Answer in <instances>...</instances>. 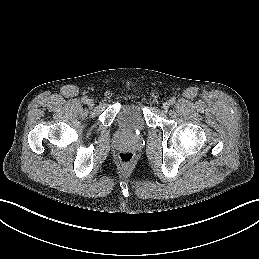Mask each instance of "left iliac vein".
I'll return each instance as SVG.
<instances>
[{"mask_svg": "<svg viewBox=\"0 0 259 259\" xmlns=\"http://www.w3.org/2000/svg\"><path fill=\"white\" fill-rule=\"evenodd\" d=\"M170 104L168 102L163 103L162 109L164 112H167L169 109Z\"/></svg>", "mask_w": 259, "mask_h": 259, "instance_id": "left-iliac-vein-1", "label": "left iliac vein"}]
</instances>
